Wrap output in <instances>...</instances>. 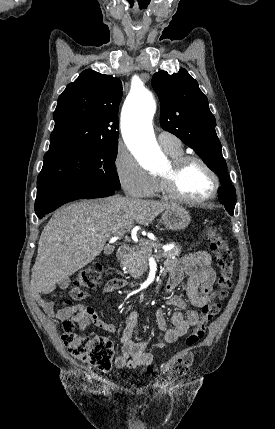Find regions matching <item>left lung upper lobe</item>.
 <instances>
[{
  "mask_svg": "<svg viewBox=\"0 0 275 429\" xmlns=\"http://www.w3.org/2000/svg\"><path fill=\"white\" fill-rule=\"evenodd\" d=\"M152 86L161 100L162 128L195 150L219 176L222 187L227 190L226 196L219 200L230 215H233L236 204L235 188L230 182L221 143L215 131V117L197 81L181 68L174 74L158 71L152 77Z\"/></svg>",
  "mask_w": 275,
  "mask_h": 429,
  "instance_id": "left-lung-upper-lobe-1",
  "label": "left lung upper lobe"
}]
</instances>
